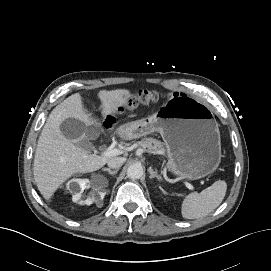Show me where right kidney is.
<instances>
[{
    "label": "right kidney",
    "instance_id": "obj_1",
    "mask_svg": "<svg viewBox=\"0 0 271 271\" xmlns=\"http://www.w3.org/2000/svg\"><path fill=\"white\" fill-rule=\"evenodd\" d=\"M70 193L73 194L72 200L78 204H87L90 205L97 200H101L105 196L103 187L92 183L88 179H71L66 185ZM92 188L93 192L87 197L84 198L82 192L84 189Z\"/></svg>",
    "mask_w": 271,
    "mask_h": 271
}]
</instances>
